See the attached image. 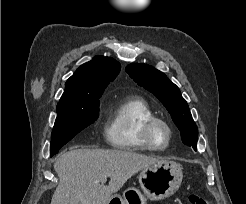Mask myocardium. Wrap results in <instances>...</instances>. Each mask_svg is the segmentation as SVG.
Here are the masks:
<instances>
[{"label":"myocardium","mask_w":246,"mask_h":204,"mask_svg":"<svg viewBox=\"0 0 246 204\" xmlns=\"http://www.w3.org/2000/svg\"><path fill=\"white\" fill-rule=\"evenodd\" d=\"M157 125H161L167 130L168 139L164 145L156 144L153 139L154 129ZM140 137L147 149L162 151L170 146L173 139V129L165 119L158 116H152L144 122L140 131Z\"/></svg>","instance_id":"myocardium-1"}]
</instances>
